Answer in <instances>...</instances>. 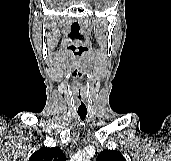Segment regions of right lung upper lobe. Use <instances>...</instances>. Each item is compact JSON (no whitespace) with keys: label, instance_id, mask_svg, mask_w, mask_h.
Wrapping results in <instances>:
<instances>
[{"label":"right lung upper lobe","instance_id":"right-lung-upper-lobe-1","mask_svg":"<svg viewBox=\"0 0 171 161\" xmlns=\"http://www.w3.org/2000/svg\"><path fill=\"white\" fill-rule=\"evenodd\" d=\"M66 157L58 147H43L36 151L29 161H65Z\"/></svg>","mask_w":171,"mask_h":161}]
</instances>
